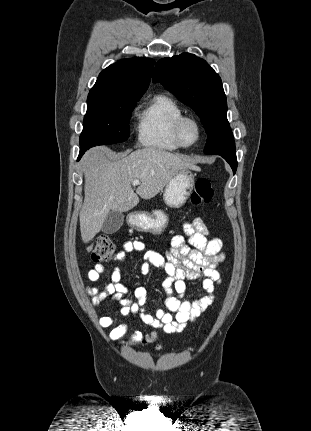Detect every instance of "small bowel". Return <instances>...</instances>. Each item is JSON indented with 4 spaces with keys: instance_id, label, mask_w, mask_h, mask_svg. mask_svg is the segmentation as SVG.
Instances as JSON below:
<instances>
[{
    "instance_id": "small-bowel-1",
    "label": "small bowel",
    "mask_w": 311,
    "mask_h": 431,
    "mask_svg": "<svg viewBox=\"0 0 311 431\" xmlns=\"http://www.w3.org/2000/svg\"><path fill=\"white\" fill-rule=\"evenodd\" d=\"M184 234L188 237L176 234L171 240L170 249L166 254L156 251H146L142 257L141 270L143 274H149L152 267L160 269L165 274L163 288L166 294L165 306L167 310H147L144 308L147 291L144 287H136L133 290V298L126 296L128 289L121 283V269L114 267L111 272V282L102 289L96 286H88L87 292L91 297L93 307L100 306L105 299L112 298L120 306V312L124 316H138L140 320L155 329H162L168 334H179L186 326L198 318L213 302L216 286L221 282L218 271L219 264L225 259L222 251L223 244L220 238H209L208 229L199 217L182 225ZM144 243L140 241H127L123 249L116 256V261H123L128 253L143 251ZM104 271L102 264L95 265L87 273L91 282H98ZM200 279L204 294L196 299H183L186 291L185 280ZM101 327L107 328L114 324L112 317L101 316ZM128 326L125 323L115 326L109 333L111 340L125 344L122 337L127 333ZM156 332L152 331L147 339L153 341ZM142 339V333L134 331L129 343Z\"/></svg>"
}]
</instances>
